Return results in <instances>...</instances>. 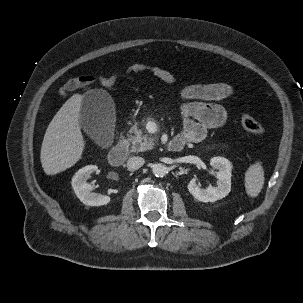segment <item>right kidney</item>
I'll use <instances>...</instances> for the list:
<instances>
[{
    "label": "right kidney",
    "instance_id": "ca27d5eb",
    "mask_svg": "<svg viewBox=\"0 0 303 303\" xmlns=\"http://www.w3.org/2000/svg\"><path fill=\"white\" fill-rule=\"evenodd\" d=\"M96 165H88L79 169L72 178V187L79 200L88 206H102L110 202L109 196L92 192V185L87 183V178L96 171Z\"/></svg>",
    "mask_w": 303,
    "mask_h": 303
}]
</instances>
